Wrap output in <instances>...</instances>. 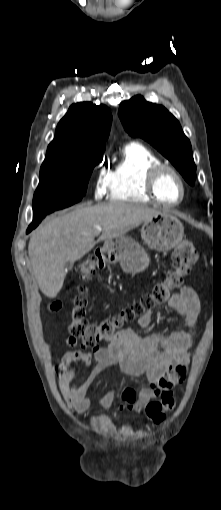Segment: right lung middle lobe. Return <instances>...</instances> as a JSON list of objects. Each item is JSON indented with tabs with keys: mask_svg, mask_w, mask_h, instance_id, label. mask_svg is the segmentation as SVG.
Returning <instances> with one entry per match:
<instances>
[{
	"mask_svg": "<svg viewBox=\"0 0 221 510\" xmlns=\"http://www.w3.org/2000/svg\"><path fill=\"white\" fill-rule=\"evenodd\" d=\"M105 149L44 160L33 198V213L46 214L79 202L86 194L93 168Z\"/></svg>",
	"mask_w": 221,
	"mask_h": 510,
	"instance_id": "right-lung-middle-lobe-1",
	"label": "right lung middle lobe"
}]
</instances>
